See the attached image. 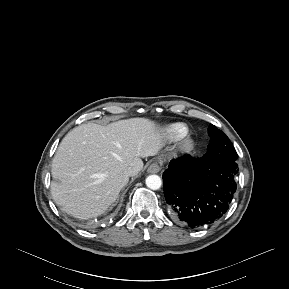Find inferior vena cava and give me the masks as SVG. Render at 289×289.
I'll use <instances>...</instances> for the list:
<instances>
[{"label": "inferior vena cava", "mask_w": 289, "mask_h": 289, "mask_svg": "<svg viewBox=\"0 0 289 289\" xmlns=\"http://www.w3.org/2000/svg\"><path fill=\"white\" fill-rule=\"evenodd\" d=\"M133 173H134V171H133V169L130 168V167L124 171V175H125L126 177L132 176Z\"/></svg>", "instance_id": "obj_1"}]
</instances>
